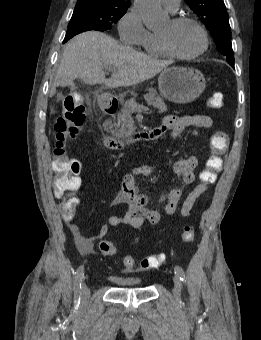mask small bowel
Returning <instances> with one entry per match:
<instances>
[{
	"mask_svg": "<svg viewBox=\"0 0 261 340\" xmlns=\"http://www.w3.org/2000/svg\"><path fill=\"white\" fill-rule=\"evenodd\" d=\"M213 120L208 115L166 116L161 125L156 128L158 137L169 133L172 140L176 139L187 127L196 129H209ZM199 160L196 156L178 159L170 156V167L179 184L188 185L196 180V168ZM152 169L141 165L132 168L122 179L121 189L112 200L113 205H124L126 208L121 215H111L108 224H104L98 233L92 237L85 236L80 227L73 222L74 214L63 215V220L73 234L76 245L83 253H91L94 242L102 239L108 232L109 226L126 225L134 229H141L145 224H157L160 221V213L152 198L140 193L136 184V177H149ZM80 180V178H79ZM81 182V180H80ZM207 190V186L197 185L184 200L180 213L183 217L189 215L196 200ZM182 198L180 187H173L162 194L157 204L164 203L165 212L172 215L177 211Z\"/></svg>",
	"mask_w": 261,
	"mask_h": 340,
	"instance_id": "small-bowel-1",
	"label": "small bowel"
}]
</instances>
